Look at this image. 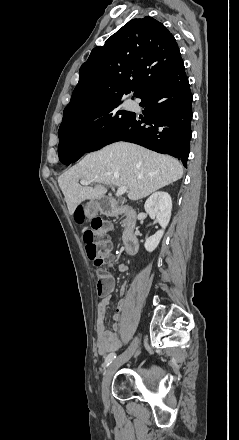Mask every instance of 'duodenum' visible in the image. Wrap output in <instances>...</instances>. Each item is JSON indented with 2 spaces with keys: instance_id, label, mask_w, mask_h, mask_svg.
<instances>
[{
  "instance_id": "obj_1",
  "label": "duodenum",
  "mask_w": 239,
  "mask_h": 440,
  "mask_svg": "<svg viewBox=\"0 0 239 440\" xmlns=\"http://www.w3.org/2000/svg\"><path fill=\"white\" fill-rule=\"evenodd\" d=\"M98 210L107 216L123 214L126 218L122 239L125 250L128 254L134 255L138 251L139 243L135 234L136 211L128 206L120 205L115 199L108 196H101L96 200Z\"/></svg>"
}]
</instances>
